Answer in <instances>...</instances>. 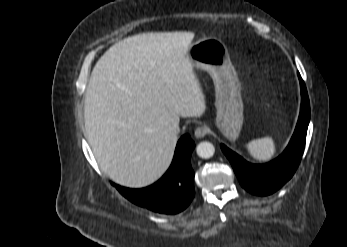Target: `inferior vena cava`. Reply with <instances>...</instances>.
Listing matches in <instances>:
<instances>
[{
    "instance_id": "1",
    "label": "inferior vena cava",
    "mask_w": 347,
    "mask_h": 247,
    "mask_svg": "<svg viewBox=\"0 0 347 247\" xmlns=\"http://www.w3.org/2000/svg\"><path fill=\"white\" fill-rule=\"evenodd\" d=\"M170 131L172 134L176 135L180 132V128L177 124H174L170 127Z\"/></svg>"
}]
</instances>
